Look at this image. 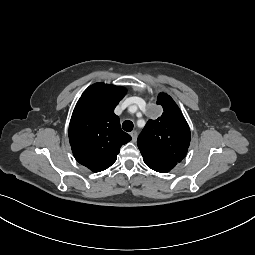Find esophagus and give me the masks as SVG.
<instances>
[{"label": "esophagus", "mask_w": 255, "mask_h": 255, "mask_svg": "<svg viewBox=\"0 0 255 255\" xmlns=\"http://www.w3.org/2000/svg\"><path fill=\"white\" fill-rule=\"evenodd\" d=\"M130 135H131V137H132V141H133V142H136L137 136H138L137 132H136V131H132V132L130 133Z\"/></svg>", "instance_id": "34e87169"}]
</instances>
